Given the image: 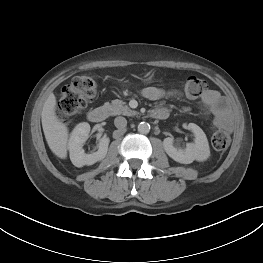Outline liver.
I'll use <instances>...</instances> for the list:
<instances>
[{
    "mask_svg": "<svg viewBox=\"0 0 263 263\" xmlns=\"http://www.w3.org/2000/svg\"><path fill=\"white\" fill-rule=\"evenodd\" d=\"M55 107L56 97L50 93L41 113L42 127L51 151L59 158L65 159L69 134L66 125L57 118Z\"/></svg>",
    "mask_w": 263,
    "mask_h": 263,
    "instance_id": "liver-1",
    "label": "liver"
}]
</instances>
